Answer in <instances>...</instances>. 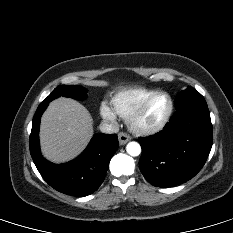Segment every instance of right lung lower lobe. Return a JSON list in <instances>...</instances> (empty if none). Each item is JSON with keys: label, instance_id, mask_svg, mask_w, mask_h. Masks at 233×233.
<instances>
[{"label": "right lung lower lobe", "instance_id": "98d812e1", "mask_svg": "<svg viewBox=\"0 0 233 233\" xmlns=\"http://www.w3.org/2000/svg\"><path fill=\"white\" fill-rule=\"evenodd\" d=\"M42 102L33 117L30 134V154L43 179L57 191L83 197L95 192L105 178L109 162L118 149L116 134L95 135L84 152L65 164H53L40 152L39 125L48 106Z\"/></svg>", "mask_w": 233, "mask_h": 233}]
</instances>
